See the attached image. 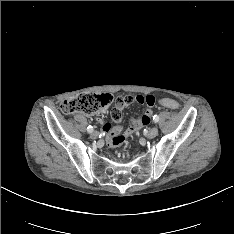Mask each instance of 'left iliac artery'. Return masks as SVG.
Listing matches in <instances>:
<instances>
[{
    "mask_svg": "<svg viewBox=\"0 0 234 234\" xmlns=\"http://www.w3.org/2000/svg\"><path fill=\"white\" fill-rule=\"evenodd\" d=\"M153 120L155 123L159 122V116L158 115H154Z\"/></svg>",
    "mask_w": 234,
    "mask_h": 234,
    "instance_id": "44dca946",
    "label": "left iliac artery"
}]
</instances>
